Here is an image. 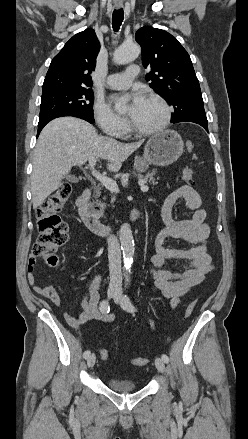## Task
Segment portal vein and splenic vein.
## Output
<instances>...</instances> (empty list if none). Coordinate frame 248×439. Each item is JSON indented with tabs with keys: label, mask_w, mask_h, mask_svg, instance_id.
<instances>
[{
	"label": "portal vein and splenic vein",
	"mask_w": 248,
	"mask_h": 439,
	"mask_svg": "<svg viewBox=\"0 0 248 439\" xmlns=\"http://www.w3.org/2000/svg\"><path fill=\"white\" fill-rule=\"evenodd\" d=\"M95 163H96L95 159H93V158L89 159V165H90V169H91L92 175L98 181H100L109 191L114 192V193L119 192V187H118L116 181H114L113 179H111V178H109L107 176H104L100 172H98L95 169ZM139 185H140V189H141L142 192H147L148 191V186H146L143 181H140Z\"/></svg>",
	"instance_id": "1"
}]
</instances>
